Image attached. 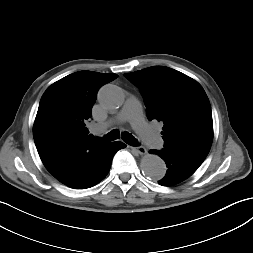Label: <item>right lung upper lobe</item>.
I'll use <instances>...</instances> for the list:
<instances>
[{"label":"right lung upper lobe","instance_id":"right-lung-upper-lobe-1","mask_svg":"<svg viewBox=\"0 0 253 253\" xmlns=\"http://www.w3.org/2000/svg\"><path fill=\"white\" fill-rule=\"evenodd\" d=\"M118 75L79 71L53 83L43 94L33 137L47 170L63 184L78 189L99 171L106 143L90 140L86 122L101 86Z\"/></svg>","mask_w":253,"mask_h":253}]
</instances>
